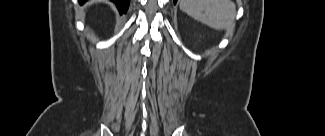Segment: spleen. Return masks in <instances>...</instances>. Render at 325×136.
I'll return each mask as SVG.
<instances>
[{"label":"spleen","mask_w":325,"mask_h":136,"mask_svg":"<svg viewBox=\"0 0 325 136\" xmlns=\"http://www.w3.org/2000/svg\"><path fill=\"white\" fill-rule=\"evenodd\" d=\"M233 3L229 0H181L180 9L197 21L221 30L233 16Z\"/></svg>","instance_id":"1"}]
</instances>
